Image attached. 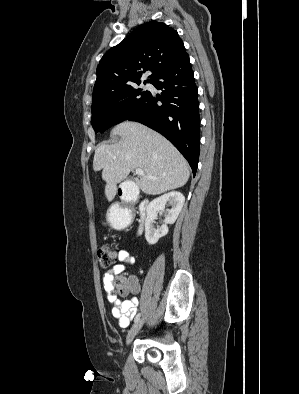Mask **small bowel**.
I'll return each mask as SVG.
<instances>
[{
	"label": "small bowel",
	"instance_id": "1",
	"mask_svg": "<svg viewBox=\"0 0 299 394\" xmlns=\"http://www.w3.org/2000/svg\"><path fill=\"white\" fill-rule=\"evenodd\" d=\"M116 212L121 214L123 212V207H117ZM118 259L121 262L128 264H134L135 258L126 249H120L118 251ZM126 270L124 264L115 265L110 271L103 275L102 283L103 289L106 292V297L108 302L112 305V315L118 321V325L121 328H126L129 326L132 319L135 317L139 305V300L133 297L128 300H119L113 293L111 287V281L115 275L121 274ZM132 279V289L131 293L136 295L140 292V284L138 278L135 275L130 276Z\"/></svg>",
	"mask_w": 299,
	"mask_h": 394
}]
</instances>
